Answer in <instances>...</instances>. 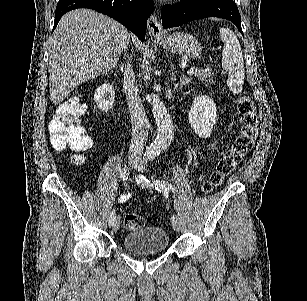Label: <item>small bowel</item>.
<instances>
[{
	"instance_id": "small-bowel-1",
	"label": "small bowel",
	"mask_w": 307,
	"mask_h": 301,
	"mask_svg": "<svg viewBox=\"0 0 307 301\" xmlns=\"http://www.w3.org/2000/svg\"><path fill=\"white\" fill-rule=\"evenodd\" d=\"M131 193L130 192H126L124 194H122L119 198V201L120 202H124L126 201L129 197H130Z\"/></svg>"
}]
</instances>
